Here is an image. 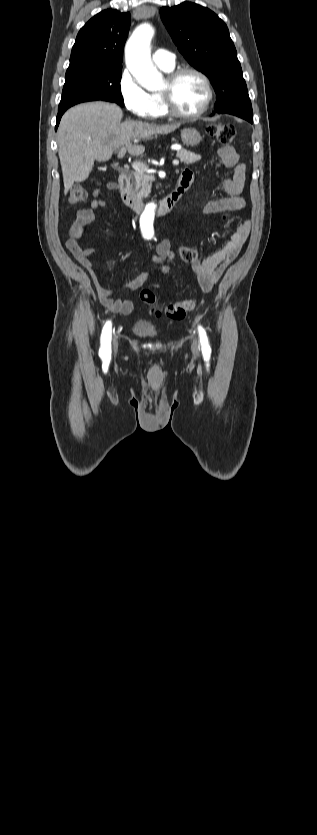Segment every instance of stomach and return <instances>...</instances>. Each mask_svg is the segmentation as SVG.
<instances>
[{
	"mask_svg": "<svg viewBox=\"0 0 317 835\" xmlns=\"http://www.w3.org/2000/svg\"><path fill=\"white\" fill-rule=\"evenodd\" d=\"M181 138L186 145L192 147L197 146L202 140L200 133L194 128L181 130Z\"/></svg>",
	"mask_w": 317,
	"mask_h": 835,
	"instance_id": "1",
	"label": "stomach"
}]
</instances>
